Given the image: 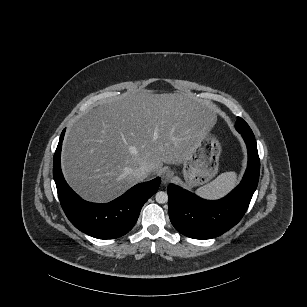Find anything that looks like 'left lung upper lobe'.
I'll return each mask as SVG.
<instances>
[{
  "label": "left lung upper lobe",
  "mask_w": 307,
  "mask_h": 307,
  "mask_svg": "<svg viewBox=\"0 0 307 307\" xmlns=\"http://www.w3.org/2000/svg\"><path fill=\"white\" fill-rule=\"evenodd\" d=\"M235 127H236L237 131L244 130V131L252 132V130L250 129L248 124L240 117L237 118Z\"/></svg>",
  "instance_id": "left-lung-upper-lobe-1"
}]
</instances>
